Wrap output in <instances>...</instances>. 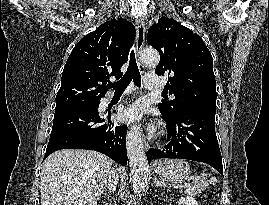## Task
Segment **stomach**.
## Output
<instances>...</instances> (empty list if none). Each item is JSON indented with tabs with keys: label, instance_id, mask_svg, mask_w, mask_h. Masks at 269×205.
Instances as JSON below:
<instances>
[{
	"label": "stomach",
	"instance_id": "0dacf381",
	"mask_svg": "<svg viewBox=\"0 0 269 205\" xmlns=\"http://www.w3.org/2000/svg\"><path fill=\"white\" fill-rule=\"evenodd\" d=\"M155 172L163 181L183 183L189 179L190 167L184 160H164L157 163Z\"/></svg>",
	"mask_w": 269,
	"mask_h": 205
}]
</instances>
